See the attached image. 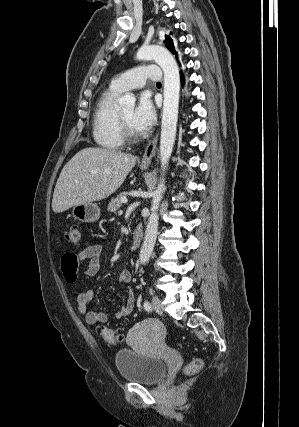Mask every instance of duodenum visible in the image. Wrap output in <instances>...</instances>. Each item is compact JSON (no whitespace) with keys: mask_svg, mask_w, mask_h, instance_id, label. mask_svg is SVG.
I'll list each match as a JSON object with an SVG mask.
<instances>
[{"mask_svg":"<svg viewBox=\"0 0 299 427\" xmlns=\"http://www.w3.org/2000/svg\"><path fill=\"white\" fill-rule=\"evenodd\" d=\"M141 240H142V227L140 225H137L133 233V242L131 245L132 251H135L138 249V247L141 244Z\"/></svg>","mask_w":299,"mask_h":427,"instance_id":"410a0bca","label":"duodenum"}]
</instances>
